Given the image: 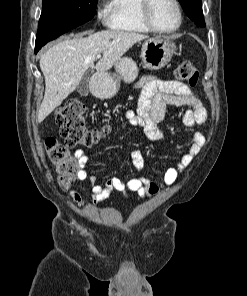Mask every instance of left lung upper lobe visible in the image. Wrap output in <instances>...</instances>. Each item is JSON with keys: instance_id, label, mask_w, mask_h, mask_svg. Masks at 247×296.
<instances>
[{"instance_id": "obj_1", "label": "left lung upper lobe", "mask_w": 247, "mask_h": 296, "mask_svg": "<svg viewBox=\"0 0 247 296\" xmlns=\"http://www.w3.org/2000/svg\"><path fill=\"white\" fill-rule=\"evenodd\" d=\"M188 17L200 27L205 26L201 0H179Z\"/></svg>"}]
</instances>
